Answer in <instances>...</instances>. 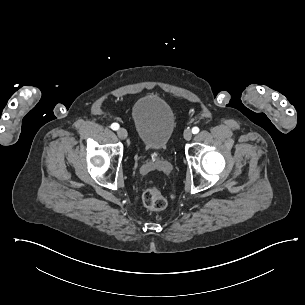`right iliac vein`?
I'll return each instance as SVG.
<instances>
[{
    "label": "right iliac vein",
    "mask_w": 305,
    "mask_h": 305,
    "mask_svg": "<svg viewBox=\"0 0 305 305\" xmlns=\"http://www.w3.org/2000/svg\"><path fill=\"white\" fill-rule=\"evenodd\" d=\"M117 135L121 139H126L128 134H127V131L124 128H119L117 130Z\"/></svg>",
    "instance_id": "1"
}]
</instances>
